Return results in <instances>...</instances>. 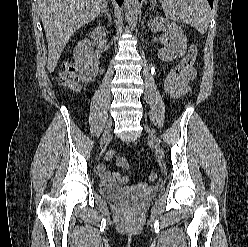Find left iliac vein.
Here are the masks:
<instances>
[{
	"label": "left iliac vein",
	"mask_w": 248,
	"mask_h": 247,
	"mask_svg": "<svg viewBox=\"0 0 248 247\" xmlns=\"http://www.w3.org/2000/svg\"><path fill=\"white\" fill-rule=\"evenodd\" d=\"M146 132L149 134L150 138H151V141L154 145V148L156 150H159L160 149V146H159V141L157 139V137L152 133V131L150 130V128L148 126H144Z\"/></svg>",
	"instance_id": "1"
}]
</instances>
